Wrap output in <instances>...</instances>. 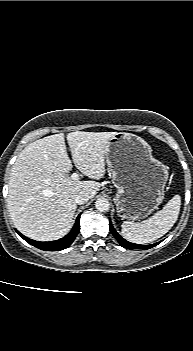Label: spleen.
<instances>
[{
  "mask_svg": "<svg viewBox=\"0 0 193 351\" xmlns=\"http://www.w3.org/2000/svg\"><path fill=\"white\" fill-rule=\"evenodd\" d=\"M181 206V197L175 195L151 218L141 223L124 221L121 225V233L125 239L133 243H150L166 234L177 221Z\"/></svg>",
  "mask_w": 193,
  "mask_h": 351,
  "instance_id": "3e777b00",
  "label": "spleen"
}]
</instances>
